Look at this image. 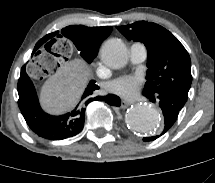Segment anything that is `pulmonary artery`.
<instances>
[{
  "instance_id": "obj_1",
  "label": "pulmonary artery",
  "mask_w": 215,
  "mask_h": 183,
  "mask_svg": "<svg viewBox=\"0 0 215 183\" xmlns=\"http://www.w3.org/2000/svg\"><path fill=\"white\" fill-rule=\"evenodd\" d=\"M130 61L133 64L143 62L147 57V49L144 44L140 42H134L131 44L130 49Z\"/></svg>"
}]
</instances>
